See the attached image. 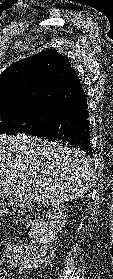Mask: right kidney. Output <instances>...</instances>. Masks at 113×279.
Returning <instances> with one entry per match:
<instances>
[{
	"label": "right kidney",
	"instance_id": "ca27d5eb",
	"mask_svg": "<svg viewBox=\"0 0 113 279\" xmlns=\"http://www.w3.org/2000/svg\"><path fill=\"white\" fill-rule=\"evenodd\" d=\"M49 223V230L55 233H62V229L65 227L66 219L68 218L65 209L62 210L58 207L53 208L52 212H48L47 216Z\"/></svg>",
	"mask_w": 113,
	"mask_h": 279
}]
</instances>
